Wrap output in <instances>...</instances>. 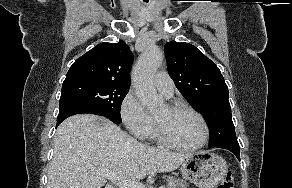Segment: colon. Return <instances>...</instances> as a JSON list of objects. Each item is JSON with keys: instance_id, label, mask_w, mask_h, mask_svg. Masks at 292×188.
Listing matches in <instances>:
<instances>
[{"instance_id": "colon-1", "label": "colon", "mask_w": 292, "mask_h": 188, "mask_svg": "<svg viewBox=\"0 0 292 188\" xmlns=\"http://www.w3.org/2000/svg\"><path fill=\"white\" fill-rule=\"evenodd\" d=\"M234 182L232 174L229 172L226 174L225 178L217 185L216 188H233Z\"/></svg>"}]
</instances>
